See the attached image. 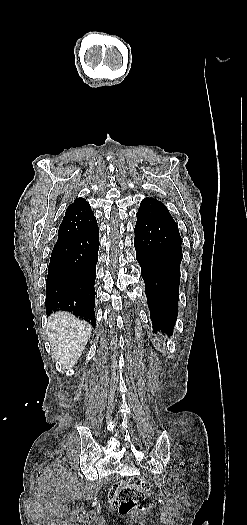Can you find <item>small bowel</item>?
<instances>
[{
  "mask_svg": "<svg viewBox=\"0 0 247 525\" xmlns=\"http://www.w3.org/2000/svg\"><path fill=\"white\" fill-rule=\"evenodd\" d=\"M120 486H121L120 481L115 480L113 481L108 491L109 495L107 497V500L109 502V511L111 513H116L118 511V501L116 500V496L118 495Z\"/></svg>",
  "mask_w": 247,
  "mask_h": 525,
  "instance_id": "c3829d8e",
  "label": "small bowel"
}]
</instances>
